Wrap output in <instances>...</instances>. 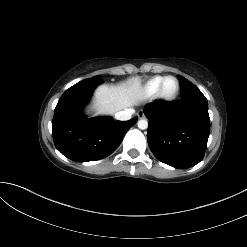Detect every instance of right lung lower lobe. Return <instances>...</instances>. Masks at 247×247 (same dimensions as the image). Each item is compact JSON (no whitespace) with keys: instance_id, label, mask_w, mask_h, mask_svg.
<instances>
[{"instance_id":"1","label":"right lung lower lobe","mask_w":247,"mask_h":247,"mask_svg":"<svg viewBox=\"0 0 247 247\" xmlns=\"http://www.w3.org/2000/svg\"><path fill=\"white\" fill-rule=\"evenodd\" d=\"M102 82L80 81L65 91L55 108L52 121L54 144L71 160L86 162L106 158L116 150L125 133L137 122V117L129 121L84 117V105L95 87Z\"/></svg>"}]
</instances>
